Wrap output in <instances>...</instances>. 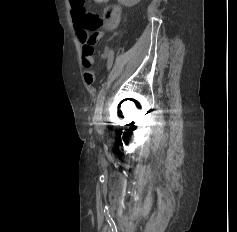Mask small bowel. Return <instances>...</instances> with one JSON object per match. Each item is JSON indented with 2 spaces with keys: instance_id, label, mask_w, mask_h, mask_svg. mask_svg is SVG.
<instances>
[{
  "instance_id": "1",
  "label": "small bowel",
  "mask_w": 237,
  "mask_h": 232,
  "mask_svg": "<svg viewBox=\"0 0 237 232\" xmlns=\"http://www.w3.org/2000/svg\"><path fill=\"white\" fill-rule=\"evenodd\" d=\"M95 3L102 4L107 0H93ZM116 11V16L112 19L105 20L104 29L112 30L114 29L120 21V8L118 6H112ZM79 37L80 42L82 43V52H83V68H84V80L90 85L94 81V58H93V43L84 40ZM108 49L104 51V57L107 54Z\"/></svg>"
}]
</instances>
